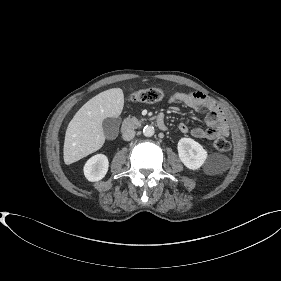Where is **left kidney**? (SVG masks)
Listing matches in <instances>:
<instances>
[{
    "mask_svg": "<svg viewBox=\"0 0 281 281\" xmlns=\"http://www.w3.org/2000/svg\"><path fill=\"white\" fill-rule=\"evenodd\" d=\"M177 149L181 162L190 170L201 168L207 158V151L191 138H181Z\"/></svg>",
    "mask_w": 281,
    "mask_h": 281,
    "instance_id": "5707ae66",
    "label": "left kidney"
}]
</instances>
